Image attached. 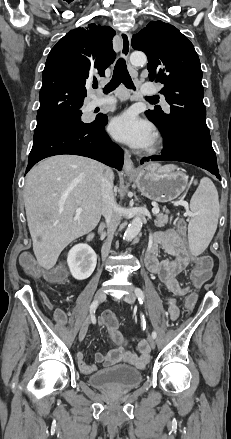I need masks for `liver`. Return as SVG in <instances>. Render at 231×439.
Here are the masks:
<instances>
[{
  "mask_svg": "<svg viewBox=\"0 0 231 439\" xmlns=\"http://www.w3.org/2000/svg\"><path fill=\"white\" fill-rule=\"evenodd\" d=\"M106 169L90 158L56 155L40 161L27 174V222L34 254L44 269L53 268L68 244L99 223L101 177ZM77 208H82L81 214H76Z\"/></svg>",
  "mask_w": 231,
  "mask_h": 439,
  "instance_id": "1",
  "label": "liver"
}]
</instances>
